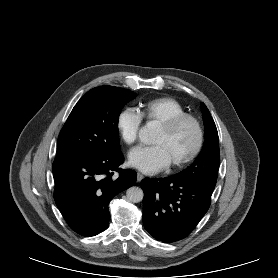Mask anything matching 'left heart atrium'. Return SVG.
I'll list each match as a JSON object with an SVG mask.
<instances>
[{"mask_svg": "<svg viewBox=\"0 0 278 278\" xmlns=\"http://www.w3.org/2000/svg\"><path fill=\"white\" fill-rule=\"evenodd\" d=\"M131 166L146 174L158 173L170 165V160L160 145L141 146L129 154Z\"/></svg>", "mask_w": 278, "mask_h": 278, "instance_id": "39dd6f15", "label": "left heart atrium"}]
</instances>
